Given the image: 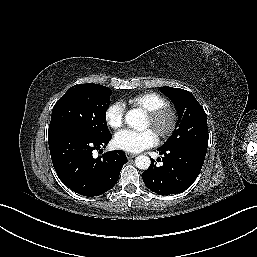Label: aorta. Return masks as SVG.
<instances>
[{"instance_id":"obj_1","label":"aorta","mask_w":257,"mask_h":257,"mask_svg":"<svg viewBox=\"0 0 257 257\" xmlns=\"http://www.w3.org/2000/svg\"><path fill=\"white\" fill-rule=\"evenodd\" d=\"M126 123L137 130H143L145 128V116L137 109L128 111L125 115ZM151 160L148 156L139 155L135 158V165L138 169L147 170L150 167Z\"/></svg>"}]
</instances>
